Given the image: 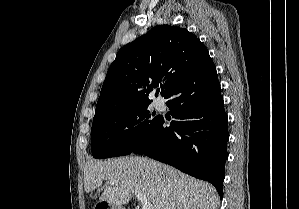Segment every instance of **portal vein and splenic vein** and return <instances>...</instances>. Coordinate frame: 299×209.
Instances as JSON below:
<instances>
[{
	"label": "portal vein and splenic vein",
	"instance_id": "obj_1",
	"mask_svg": "<svg viewBox=\"0 0 299 209\" xmlns=\"http://www.w3.org/2000/svg\"><path fill=\"white\" fill-rule=\"evenodd\" d=\"M135 196L141 202L142 209H153L152 204L148 201L146 196H144L143 194H140V193H135Z\"/></svg>",
	"mask_w": 299,
	"mask_h": 209
}]
</instances>
